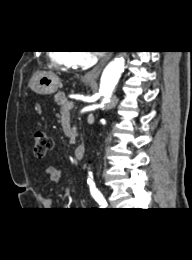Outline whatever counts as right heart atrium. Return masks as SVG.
I'll return each instance as SVG.
<instances>
[{"label":"right heart atrium","mask_w":192,"mask_h":260,"mask_svg":"<svg viewBox=\"0 0 192 260\" xmlns=\"http://www.w3.org/2000/svg\"><path fill=\"white\" fill-rule=\"evenodd\" d=\"M91 59V55L86 51H76L72 53V62L75 66H84Z\"/></svg>","instance_id":"1"}]
</instances>
